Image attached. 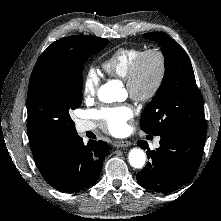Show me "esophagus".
<instances>
[{"label": "esophagus", "instance_id": "esophagus-1", "mask_svg": "<svg viewBox=\"0 0 221 221\" xmlns=\"http://www.w3.org/2000/svg\"><path fill=\"white\" fill-rule=\"evenodd\" d=\"M112 145L115 148L128 147L131 145V142L130 141H113Z\"/></svg>", "mask_w": 221, "mask_h": 221}]
</instances>
